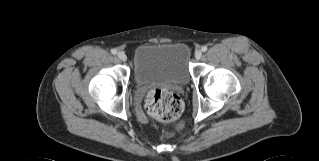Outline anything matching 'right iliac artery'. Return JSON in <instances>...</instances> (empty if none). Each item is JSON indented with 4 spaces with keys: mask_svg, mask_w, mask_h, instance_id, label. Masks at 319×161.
Masks as SVG:
<instances>
[{
    "mask_svg": "<svg viewBox=\"0 0 319 161\" xmlns=\"http://www.w3.org/2000/svg\"><path fill=\"white\" fill-rule=\"evenodd\" d=\"M111 53H112L113 55H116V54H117V50H116V49H112V50H111Z\"/></svg>",
    "mask_w": 319,
    "mask_h": 161,
    "instance_id": "right-iliac-artery-1",
    "label": "right iliac artery"
}]
</instances>
